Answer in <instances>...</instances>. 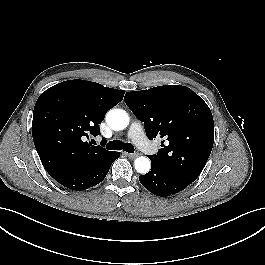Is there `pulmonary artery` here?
<instances>
[{"label": "pulmonary artery", "mask_w": 265, "mask_h": 265, "mask_svg": "<svg viewBox=\"0 0 265 265\" xmlns=\"http://www.w3.org/2000/svg\"><path fill=\"white\" fill-rule=\"evenodd\" d=\"M128 136L132 139L140 148H144L145 146V134L143 127L140 122L135 121L131 124Z\"/></svg>", "instance_id": "1"}]
</instances>
